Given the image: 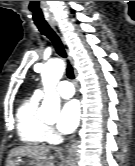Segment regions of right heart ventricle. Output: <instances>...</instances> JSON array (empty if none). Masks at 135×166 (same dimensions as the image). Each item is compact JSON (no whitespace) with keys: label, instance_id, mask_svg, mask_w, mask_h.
<instances>
[{"label":"right heart ventricle","instance_id":"1","mask_svg":"<svg viewBox=\"0 0 135 166\" xmlns=\"http://www.w3.org/2000/svg\"><path fill=\"white\" fill-rule=\"evenodd\" d=\"M39 99L35 95L25 99L16 113L18 136L28 146H39L48 140L47 125L37 113Z\"/></svg>","mask_w":135,"mask_h":166}]
</instances>
